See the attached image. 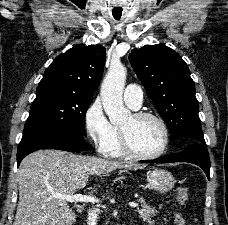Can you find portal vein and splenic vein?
Instances as JSON below:
<instances>
[{
	"label": "portal vein and splenic vein",
	"instance_id": "18ae733b",
	"mask_svg": "<svg viewBox=\"0 0 228 225\" xmlns=\"http://www.w3.org/2000/svg\"><path fill=\"white\" fill-rule=\"evenodd\" d=\"M58 199H65L69 203H99V199H94V197H86V195H56ZM130 207H137L136 203H129Z\"/></svg>",
	"mask_w": 228,
	"mask_h": 225
}]
</instances>
